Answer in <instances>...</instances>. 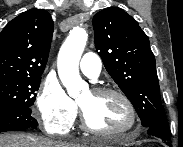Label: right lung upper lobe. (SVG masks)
<instances>
[{
  "label": "right lung upper lobe",
  "instance_id": "1",
  "mask_svg": "<svg viewBox=\"0 0 183 147\" xmlns=\"http://www.w3.org/2000/svg\"><path fill=\"white\" fill-rule=\"evenodd\" d=\"M54 23L50 13L30 9L0 33V80L41 76L49 55Z\"/></svg>",
  "mask_w": 183,
  "mask_h": 147
}]
</instances>
